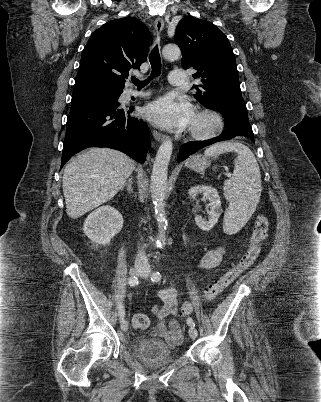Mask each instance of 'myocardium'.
<instances>
[{"instance_id":"f54148a6","label":"myocardium","mask_w":321,"mask_h":402,"mask_svg":"<svg viewBox=\"0 0 321 402\" xmlns=\"http://www.w3.org/2000/svg\"><path fill=\"white\" fill-rule=\"evenodd\" d=\"M194 115L206 117L210 119L211 126L206 130L189 127L188 134L194 140H208L218 136L224 128V120L222 116L215 110L209 108L197 109Z\"/></svg>"}]
</instances>
